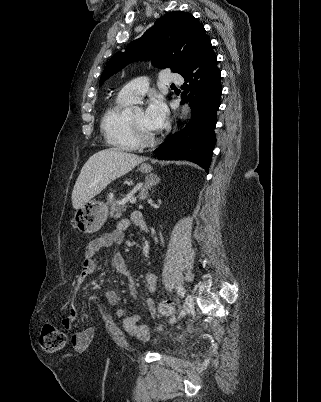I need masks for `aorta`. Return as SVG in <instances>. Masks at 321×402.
Wrapping results in <instances>:
<instances>
[{"label":"aorta","mask_w":321,"mask_h":402,"mask_svg":"<svg viewBox=\"0 0 321 402\" xmlns=\"http://www.w3.org/2000/svg\"><path fill=\"white\" fill-rule=\"evenodd\" d=\"M187 112H188V106H187V105H184L183 108H182V113H183V115H186Z\"/></svg>","instance_id":"aorta-1"}]
</instances>
